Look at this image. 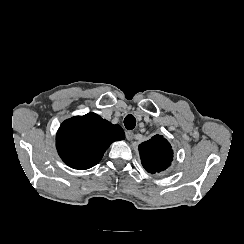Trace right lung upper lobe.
I'll list each match as a JSON object with an SVG mask.
<instances>
[{
    "mask_svg": "<svg viewBox=\"0 0 244 244\" xmlns=\"http://www.w3.org/2000/svg\"><path fill=\"white\" fill-rule=\"evenodd\" d=\"M119 125H113L95 113L65 120L56 135V147L62 160L74 169H88L99 163L106 149L123 140Z\"/></svg>",
    "mask_w": 244,
    "mask_h": 244,
    "instance_id": "cb5924a9",
    "label": "right lung upper lobe"
}]
</instances>
